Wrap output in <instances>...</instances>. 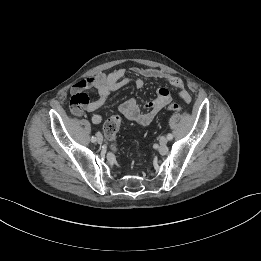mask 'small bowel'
I'll use <instances>...</instances> for the list:
<instances>
[{
	"instance_id": "1",
	"label": "small bowel",
	"mask_w": 261,
	"mask_h": 261,
	"mask_svg": "<svg viewBox=\"0 0 261 261\" xmlns=\"http://www.w3.org/2000/svg\"><path fill=\"white\" fill-rule=\"evenodd\" d=\"M132 71L137 77H127L126 70L119 68L109 74L99 73L76 82L71 88L70 106L72 112L77 116L82 115L83 111L96 112L104 106L112 92L129 84L134 85L137 89L142 88L144 85L143 78L161 80L177 92L178 98L183 103L191 101V96L180 78L153 68L133 67ZM91 89L96 90L98 94L94 100L90 99L86 93ZM171 100L172 96L168 89L159 88L155 99L149 101L143 107L136 100L128 99L120 104L118 110L126 119L146 126ZM91 120L94 124H99L103 117L100 114H94Z\"/></svg>"
}]
</instances>
